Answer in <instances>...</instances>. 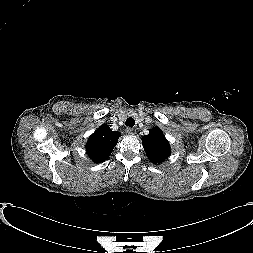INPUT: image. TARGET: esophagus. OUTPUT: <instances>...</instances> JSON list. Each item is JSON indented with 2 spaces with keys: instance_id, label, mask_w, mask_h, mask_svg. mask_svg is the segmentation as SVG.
Listing matches in <instances>:
<instances>
[{
  "instance_id": "34e87169",
  "label": "esophagus",
  "mask_w": 253,
  "mask_h": 253,
  "mask_svg": "<svg viewBox=\"0 0 253 253\" xmlns=\"http://www.w3.org/2000/svg\"><path fill=\"white\" fill-rule=\"evenodd\" d=\"M126 131L129 135H134L136 133V129L134 128H127Z\"/></svg>"
}]
</instances>
